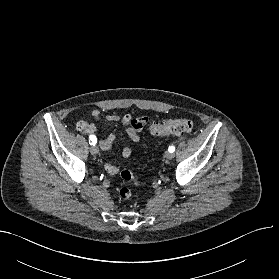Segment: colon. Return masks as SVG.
<instances>
[{
  "label": "colon",
  "instance_id": "5ec220e1",
  "mask_svg": "<svg viewBox=\"0 0 279 279\" xmlns=\"http://www.w3.org/2000/svg\"><path fill=\"white\" fill-rule=\"evenodd\" d=\"M193 129V121L186 118L171 119L165 122H151L149 125V131L154 136L182 135L192 132ZM120 176L125 182H131L135 186L139 185V181L129 169L122 170ZM131 195L132 189L130 187L123 186L119 189V196L122 199H128Z\"/></svg>",
  "mask_w": 279,
  "mask_h": 279
}]
</instances>
